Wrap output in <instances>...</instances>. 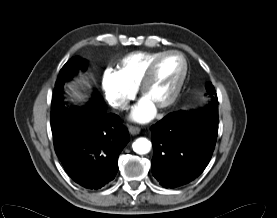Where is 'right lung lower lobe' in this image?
Here are the masks:
<instances>
[{"instance_id": "obj_1", "label": "right lung lower lobe", "mask_w": 277, "mask_h": 218, "mask_svg": "<svg viewBox=\"0 0 277 218\" xmlns=\"http://www.w3.org/2000/svg\"><path fill=\"white\" fill-rule=\"evenodd\" d=\"M65 82L63 78L56 81L53 101H63ZM96 95L77 110L76 125L54 136L55 151L64 169L72 180L88 189H99L114 179L118 156L130 138L117 115L105 111L96 114L100 102Z\"/></svg>"}]
</instances>
